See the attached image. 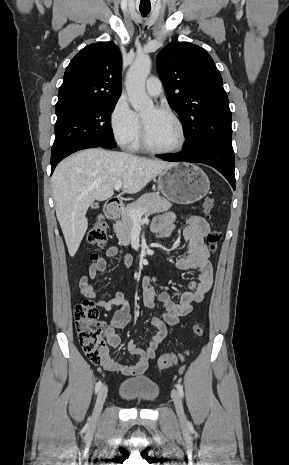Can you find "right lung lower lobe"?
<instances>
[{
    "instance_id": "1",
    "label": "right lung lower lobe",
    "mask_w": 289,
    "mask_h": 465,
    "mask_svg": "<svg viewBox=\"0 0 289 465\" xmlns=\"http://www.w3.org/2000/svg\"><path fill=\"white\" fill-rule=\"evenodd\" d=\"M95 147H103L101 146L100 144L98 143H90V144H85L83 146H81L78 150H83V149H87V148H95ZM77 150V151H78ZM76 152V151H75ZM62 160V159H61ZM61 160H58V161H55L53 163H51V174L53 173L55 167L57 166V164L61 161Z\"/></svg>"
}]
</instances>
